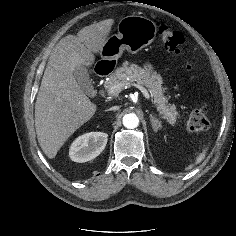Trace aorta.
<instances>
[{
	"instance_id": "obj_1",
	"label": "aorta",
	"mask_w": 236,
	"mask_h": 236,
	"mask_svg": "<svg viewBox=\"0 0 236 236\" xmlns=\"http://www.w3.org/2000/svg\"><path fill=\"white\" fill-rule=\"evenodd\" d=\"M123 125L128 129H134L139 125V119L133 113L126 114L123 117Z\"/></svg>"
}]
</instances>
